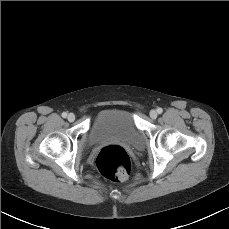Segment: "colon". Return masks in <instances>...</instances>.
Listing matches in <instances>:
<instances>
[{"label":"colon","instance_id":"1","mask_svg":"<svg viewBox=\"0 0 229 229\" xmlns=\"http://www.w3.org/2000/svg\"><path fill=\"white\" fill-rule=\"evenodd\" d=\"M96 165L103 177L115 181L125 179L131 169L129 155L118 145L103 147L97 155Z\"/></svg>","mask_w":229,"mask_h":229}]
</instances>
